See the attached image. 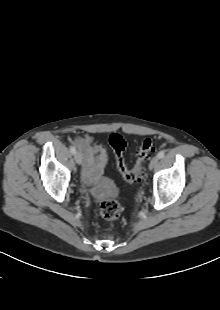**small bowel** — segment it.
Returning <instances> with one entry per match:
<instances>
[{
  "mask_svg": "<svg viewBox=\"0 0 220 310\" xmlns=\"http://www.w3.org/2000/svg\"><path fill=\"white\" fill-rule=\"evenodd\" d=\"M72 143L79 149L83 157V180L91 193L102 197L106 192L114 190L110 179L102 177L108 161V153L103 145L95 144L94 138L88 134L78 136ZM96 183V186L91 185Z\"/></svg>",
  "mask_w": 220,
  "mask_h": 310,
  "instance_id": "1",
  "label": "small bowel"
}]
</instances>
